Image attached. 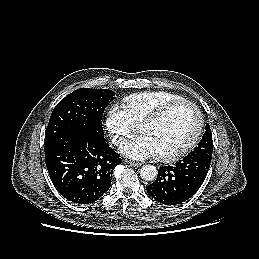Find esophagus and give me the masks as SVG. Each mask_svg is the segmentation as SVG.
<instances>
[{"label":"esophagus","mask_w":259,"mask_h":259,"mask_svg":"<svg viewBox=\"0 0 259 259\" xmlns=\"http://www.w3.org/2000/svg\"><path fill=\"white\" fill-rule=\"evenodd\" d=\"M123 162H124L125 164H130V165L135 166V167L141 166V163H139V162H132V161H129V160H127V159L123 160Z\"/></svg>","instance_id":"esophagus-1"}]
</instances>
